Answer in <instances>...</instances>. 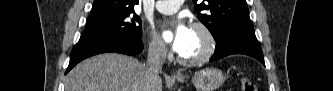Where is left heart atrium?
Here are the masks:
<instances>
[{
  "label": "left heart atrium",
  "mask_w": 333,
  "mask_h": 91,
  "mask_svg": "<svg viewBox=\"0 0 333 91\" xmlns=\"http://www.w3.org/2000/svg\"><path fill=\"white\" fill-rule=\"evenodd\" d=\"M169 30L172 33L171 48L176 53L181 54L186 47L190 28L179 18Z\"/></svg>",
  "instance_id": "obj_1"
}]
</instances>
